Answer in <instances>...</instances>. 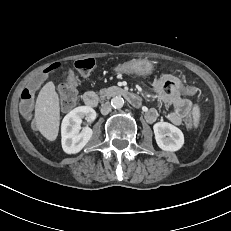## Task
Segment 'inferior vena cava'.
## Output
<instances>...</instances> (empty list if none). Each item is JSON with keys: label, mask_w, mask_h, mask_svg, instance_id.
<instances>
[{"label": "inferior vena cava", "mask_w": 231, "mask_h": 231, "mask_svg": "<svg viewBox=\"0 0 231 231\" xmlns=\"http://www.w3.org/2000/svg\"><path fill=\"white\" fill-rule=\"evenodd\" d=\"M111 111V105L109 102L103 103L101 105V113L102 115H107Z\"/></svg>", "instance_id": "inferior-vena-cava-1"}]
</instances>
